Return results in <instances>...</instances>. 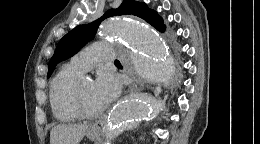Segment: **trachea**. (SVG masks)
I'll use <instances>...</instances> for the list:
<instances>
[{
  "label": "trachea",
  "instance_id": "trachea-1",
  "mask_svg": "<svg viewBox=\"0 0 260 144\" xmlns=\"http://www.w3.org/2000/svg\"><path fill=\"white\" fill-rule=\"evenodd\" d=\"M115 64H120V62L118 60H115Z\"/></svg>",
  "mask_w": 260,
  "mask_h": 144
}]
</instances>
